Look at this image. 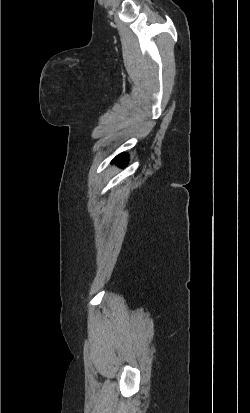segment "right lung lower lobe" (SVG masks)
<instances>
[{
	"instance_id": "98d812e1",
	"label": "right lung lower lobe",
	"mask_w": 250,
	"mask_h": 413,
	"mask_svg": "<svg viewBox=\"0 0 250 413\" xmlns=\"http://www.w3.org/2000/svg\"><path fill=\"white\" fill-rule=\"evenodd\" d=\"M127 156L126 155H118L115 157V159L113 160V162H116V164H118L119 166H125V164L127 163Z\"/></svg>"
}]
</instances>
